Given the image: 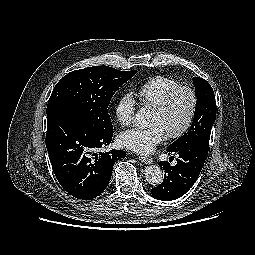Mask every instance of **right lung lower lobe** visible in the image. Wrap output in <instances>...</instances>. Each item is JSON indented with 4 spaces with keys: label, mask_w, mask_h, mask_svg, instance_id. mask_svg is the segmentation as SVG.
I'll return each instance as SVG.
<instances>
[{
    "label": "right lung lower lobe",
    "mask_w": 255,
    "mask_h": 255,
    "mask_svg": "<svg viewBox=\"0 0 255 255\" xmlns=\"http://www.w3.org/2000/svg\"><path fill=\"white\" fill-rule=\"evenodd\" d=\"M113 132H99L66 108L47 115L46 147L54 174L70 195L90 200L107 187L114 163L126 156L122 150L95 151L107 146Z\"/></svg>",
    "instance_id": "obj_1"
}]
</instances>
